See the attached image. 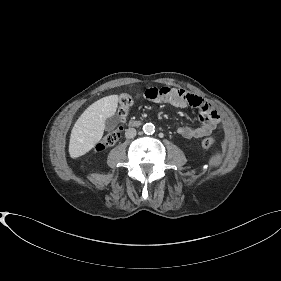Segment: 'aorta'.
<instances>
[{
	"mask_svg": "<svg viewBox=\"0 0 281 281\" xmlns=\"http://www.w3.org/2000/svg\"><path fill=\"white\" fill-rule=\"evenodd\" d=\"M143 131L145 134L147 135H151L155 132V126L154 124L152 123H146L144 126H143Z\"/></svg>",
	"mask_w": 281,
	"mask_h": 281,
	"instance_id": "762f6f07",
	"label": "aorta"
}]
</instances>
